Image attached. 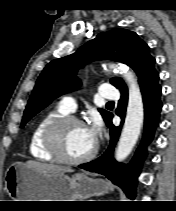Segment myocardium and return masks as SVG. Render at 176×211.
<instances>
[{"label":"myocardium","mask_w":176,"mask_h":211,"mask_svg":"<svg viewBox=\"0 0 176 211\" xmlns=\"http://www.w3.org/2000/svg\"><path fill=\"white\" fill-rule=\"evenodd\" d=\"M72 124L86 126L84 121L73 115H64L51 122L45 130L44 144L46 149L58 160L68 164H82L91 160L98 152V143L86 155L81 157L68 156L62 145V133L64 129Z\"/></svg>","instance_id":"myocardium-1"}]
</instances>
